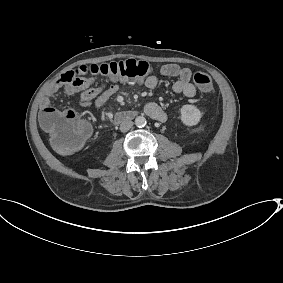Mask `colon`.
I'll return each instance as SVG.
<instances>
[{"label":"colon","mask_w":283,"mask_h":283,"mask_svg":"<svg viewBox=\"0 0 283 283\" xmlns=\"http://www.w3.org/2000/svg\"><path fill=\"white\" fill-rule=\"evenodd\" d=\"M153 66L145 61L127 60L111 62L90 67L82 66L74 73H66V80L73 76H84L88 73L111 80L136 82L151 75ZM197 87L209 92L212 89L211 77L202 72L193 76ZM42 128L50 136L54 148L64 154L79 150L91 134L90 122L75 110L58 111L54 108L44 110L40 115Z\"/></svg>","instance_id":"1"}]
</instances>
